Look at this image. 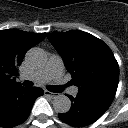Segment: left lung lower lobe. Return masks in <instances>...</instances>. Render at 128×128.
I'll return each instance as SVG.
<instances>
[{
	"label": "left lung lower lobe",
	"instance_id": "0a47b994",
	"mask_svg": "<svg viewBox=\"0 0 128 128\" xmlns=\"http://www.w3.org/2000/svg\"><path fill=\"white\" fill-rule=\"evenodd\" d=\"M115 94L105 91H79L72 101L67 113L59 114V118L74 127H83L98 120L111 105Z\"/></svg>",
	"mask_w": 128,
	"mask_h": 128
}]
</instances>
